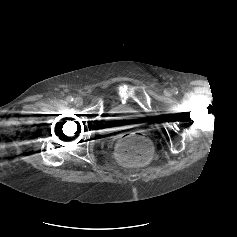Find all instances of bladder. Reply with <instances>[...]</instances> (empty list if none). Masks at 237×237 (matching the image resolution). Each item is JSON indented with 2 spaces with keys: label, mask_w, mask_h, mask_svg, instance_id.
<instances>
[{
  "label": "bladder",
  "mask_w": 237,
  "mask_h": 237,
  "mask_svg": "<svg viewBox=\"0 0 237 237\" xmlns=\"http://www.w3.org/2000/svg\"><path fill=\"white\" fill-rule=\"evenodd\" d=\"M141 121L142 115L133 108L123 104H115L100 123V129L103 134H112L122 129L135 127Z\"/></svg>",
  "instance_id": "31cf9c89"
}]
</instances>
